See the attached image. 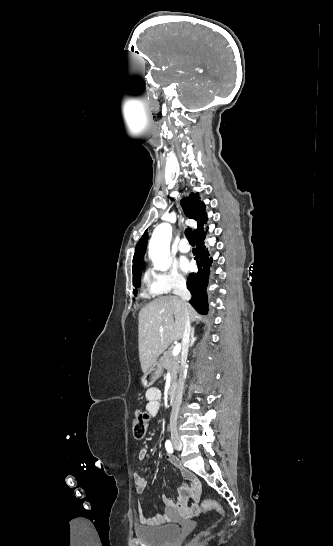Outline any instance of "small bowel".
Here are the masks:
<instances>
[{
	"label": "small bowel",
	"instance_id": "obj_1",
	"mask_svg": "<svg viewBox=\"0 0 333 546\" xmlns=\"http://www.w3.org/2000/svg\"><path fill=\"white\" fill-rule=\"evenodd\" d=\"M147 401L146 409L151 417H156L161 408L162 394L157 387L149 388L145 393ZM147 449L141 448L138 451V460L143 461L147 456ZM167 460L180 470L181 476L184 479V484L177 490L176 498L162 495L161 500L165 506V511L154 517H147L141 507L138 508L139 521L142 525L159 526L167 523L170 520L173 512L180 513L183 517H195L200 513L199 500L201 497V484L194 474L187 468L180 466L179 462L172 455H167ZM134 486L138 494L145 492L148 486V480L140 473L133 475Z\"/></svg>",
	"mask_w": 333,
	"mask_h": 546
}]
</instances>
